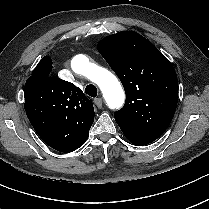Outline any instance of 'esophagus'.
Instances as JSON below:
<instances>
[{
	"mask_svg": "<svg viewBox=\"0 0 209 209\" xmlns=\"http://www.w3.org/2000/svg\"><path fill=\"white\" fill-rule=\"evenodd\" d=\"M94 103L95 105L98 107V108H101L102 107V99L101 98H95L94 99Z\"/></svg>",
	"mask_w": 209,
	"mask_h": 209,
	"instance_id": "34e87169",
	"label": "esophagus"
}]
</instances>
